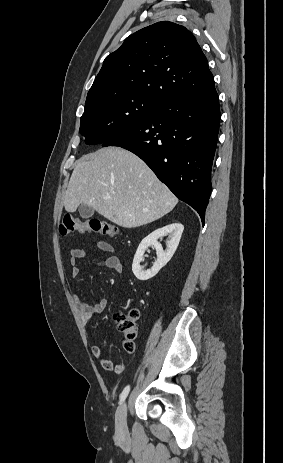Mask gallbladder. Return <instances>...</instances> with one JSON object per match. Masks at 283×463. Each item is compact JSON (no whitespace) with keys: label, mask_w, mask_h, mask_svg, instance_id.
<instances>
[{"label":"gallbladder","mask_w":283,"mask_h":463,"mask_svg":"<svg viewBox=\"0 0 283 463\" xmlns=\"http://www.w3.org/2000/svg\"><path fill=\"white\" fill-rule=\"evenodd\" d=\"M78 211L83 219H88L92 217L94 214V209L84 204H81L79 206Z\"/></svg>","instance_id":"gallbladder-1"}]
</instances>
